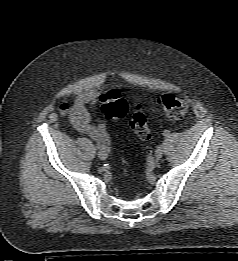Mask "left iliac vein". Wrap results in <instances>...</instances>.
<instances>
[{"label": "left iliac vein", "mask_w": 238, "mask_h": 261, "mask_svg": "<svg viewBox=\"0 0 238 261\" xmlns=\"http://www.w3.org/2000/svg\"><path fill=\"white\" fill-rule=\"evenodd\" d=\"M164 148L163 145H159L155 150L154 158L156 161L160 160L163 156Z\"/></svg>", "instance_id": "4c4485c4"}]
</instances>
